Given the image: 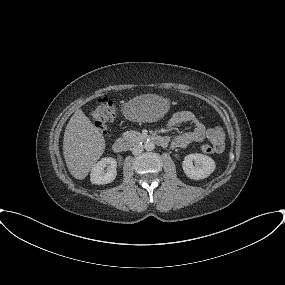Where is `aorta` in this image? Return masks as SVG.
I'll list each match as a JSON object with an SVG mask.
<instances>
[{"mask_svg":"<svg viewBox=\"0 0 285 285\" xmlns=\"http://www.w3.org/2000/svg\"><path fill=\"white\" fill-rule=\"evenodd\" d=\"M144 148H145V150H147V151H152V150H154V148H155V144H154L153 141L147 140V141L144 143Z\"/></svg>","mask_w":285,"mask_h":285,"instance_id":"1","label":"aorta"}]
</instances>
